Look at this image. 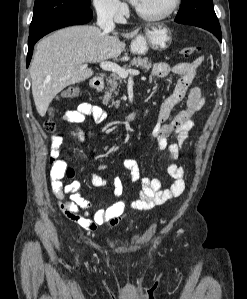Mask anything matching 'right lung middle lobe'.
I'll use <instances>...</instances> for the list:
<instances>
[{
  "label": "right lung middle lobe",
  "mask_w": 247,
  "mask_h": 299,
  "mask_svg": "<svg viewBox=\"0 0 247 299\" xmlns=\"http://www.w3.org/2000/svg\"><path fill=\"white\" fill-rule=\"evenodd\" d=\"M91 0H35L29 31L70 11L90 8Z\"/></svg>",
  "instance_id": "obj_1"
}]
</instances>
